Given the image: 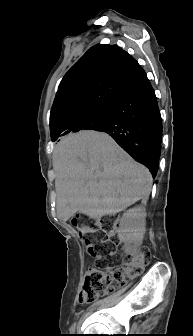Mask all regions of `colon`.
<instances>
[{"mask_svg": "<svg viewBox=\"0 0 193 336\" xmlns=\"http://www.w3.org/2000/svg\"><path fill=\"white\" fill-rule=\"evenodd\" d=\"M73 227L88 247L91 256L101 259L113 257L119 250L116 227L118 221L112 217L95 218L85 215L72 220ZM151 259L147 247L139 248L135 254L127 255L121 266L115 269L91 267L85 274L79 302L92 303L98 297L113 290L114 285L123 286L127 279L139 276Z\"/></svg>", "mask_w": 193, "mask_h": 336, "instance_id": "5ec220e1", "label": "colon"}]
</instances>
